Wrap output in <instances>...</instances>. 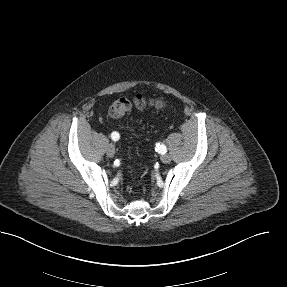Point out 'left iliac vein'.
Masks as SVG:
<instances>
[{
  "label": "left iliac vein",
  "instance_id": "obj_1",
  "mask_svg": "<svg viewBox=\"0 0 287 287\" xmlns=\"http://www.w3.org/2000/svg\"><path fill=\"white\" fill-rule=\"evenodd\" d=\"M161 160L163 163H169L171 161V156L169 154H164L161 156Z\"/></svg>",
  "mask_w": 287,
  "mask_h": 287
}]
</instances>
